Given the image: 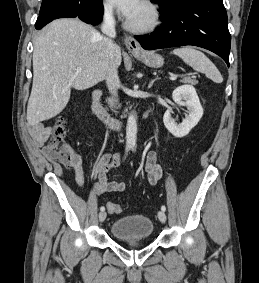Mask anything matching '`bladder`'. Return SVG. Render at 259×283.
<instances>
[{"mask_svg": "<svg viewBox=\"0 0 259 283\" xmlns=\"http://www.w3.org/2000/svg\"><path fill=\"white\" fill-rule=\"evenodd\" d=\"M152 221L143 215H130L116 220L111 226V234L118 239H147L153 233Z\"/></svg>", "mask_w": 259, "mask_h": 283, "instance_id": "31cf9c89", "label": "bladder"}]
</instances>
